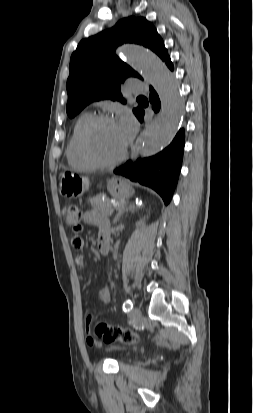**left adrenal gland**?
Instances as JSON below:
<instances>
[{
    "label": "left adrenal gland",
    "instance_id": "obj_1",
    "mask_svg": "<svg viewBox=\"0 0 253 413\" xmlns=\"http://www.w3.org/2000/svg\"><path fill=\"white\" fill-rule=\"evenodd\" d=\"M134 210H135V206H134V205H130V206L124 208V209L119 210L118 214H117L116 217L114 218L113 223L115 224L117 221H119L120 218H121V216H122L124 213H127V212H129V211H130V212H134Z\"/></svg>",
    "mask_w": 253,
    "mask_h": 413
}]
</instances>
